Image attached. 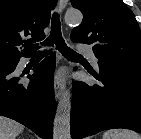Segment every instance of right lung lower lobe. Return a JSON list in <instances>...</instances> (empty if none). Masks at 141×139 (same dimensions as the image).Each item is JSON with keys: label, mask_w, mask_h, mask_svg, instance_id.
I'll return each mask as SVG.
<instances>
[{"label": "right lung lower lobe", "mask_w": 141, "mask_h": 139, "mask_svg": "<svg viewBox=\"0 0 141 139\" xmlns=\"http://www.w3.org/2000/svg\"><path fill=\"white\" fill-rule=\"evenodd\" d=\"M19 59L11 66L0 67V115L20 122L44 139H52L56 110L54 54L34 66V74L28 76L29 84L19 83L21 75L16 73Z\"/></svg>", "instance_id": "98d812e1"}]
</instances>
